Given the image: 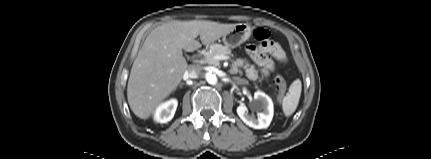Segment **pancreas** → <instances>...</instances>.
Returning a JSON list of instances; mask_svg holds the SVG:
<instances>
[{"mask_svg": "<svg viewBox=\"0 0 431 159\" xmlns=\"http://www.w3.org/2000/svg\"><path fill=\"white\" fill-rule=\"evenodd\" d=\"M220 54L225 56L231 55V49L228 46H223L221 44H212L210 46V50L205 53L203 61L204 63L217 66L219 62L214 60L213 57ZM245 72L249 80L256 81L259 79L258 72L255 70L253 65L246 68Z\"/></svg>", "mask_w": 431, "mask_h": 159, "instance_id": "1", "label": "pancreas"}]
</instances>
